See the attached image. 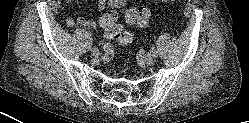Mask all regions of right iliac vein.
Listing matches in <instances>:
<instances>
[{
	"instance_id": "right-iliac-vein-1",
	"label": "right iliac vein",
	"mask_w": 249,
	"mask_h": 123,
	"mask_svg": "<svg viewBox=\"0 0 249 123\" xmlns=\"http://www.w3.org/2000/svg\"><path fill=\"white\" fill-rule=\"evenodd\" d=\"M99 53H100V52H99V49H98V48L94 47V48L91 49V54H92L93 56H98Z\"/></svg>"
}]
</instances>
